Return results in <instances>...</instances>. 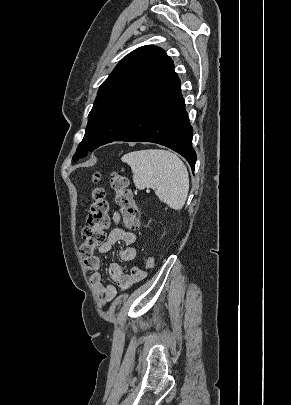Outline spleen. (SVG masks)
<instances>
[{"label": "spleen", "instance_id": "spleen-1", "mask_svg": "<svg viewBox=\"0 0 291 405\" xmlns=\"http://www.w3.org/2000/svg\"><path fill=\"white\" fill-rule=\"evenodd\" d=\"M121 160L131 167L138 189L152 188L170 208L182 209L188 196L189 175L177 155L167 150L147 149L125 154Z\"/></svg>", "mask_w": 291, "mask_h": 405}]
</instances>
